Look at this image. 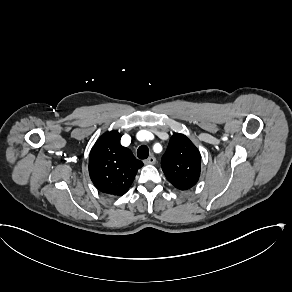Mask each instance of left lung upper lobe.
Here are the masks:
<instances>
[{"label":"left lung upper lobe","mask_w":292,"mask_h":292,"mask_svg":"<svg viewBox=\"0 0 292 292\" xmlns=\"http://www.w3.org/2000/svg\"><path fill=\"white\" fill-rule=\"evenodd\" d=\"M161 167L174 187L179 190H188L199 180L201 156L189 138L175 133L162 157Z\"/></svg>","instance_id":"1"}]
</instances>
